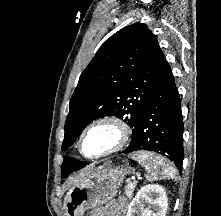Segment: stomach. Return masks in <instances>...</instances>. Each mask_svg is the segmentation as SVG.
<instances>
[{
    "mask_svg": "<svg viewBox=\"0 0 221 216\" xmlns=\"http://www.w3.org/2000/svg\"><path fill=\"white\" fill-rule=\"evenodd\" d=\"M130 172L131 168L124 166L92 169L67 192L63 203L66 216H83L86 210L112 200Z\"/></svg>",
    "mask_w": 221,
    "mask_h": 216,
    "instance_id": "1",
    "label": "stomach"
}]
</instances>
